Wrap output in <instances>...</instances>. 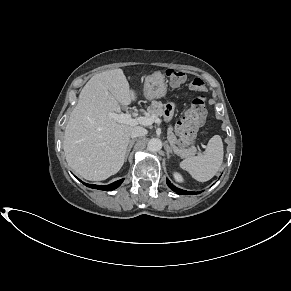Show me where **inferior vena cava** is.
Returning <instances> with one entry per match:
<instances>
[{"label": "inferior vena cava", "instance_id": "602c4592", "mask_svg": "<svg viewBox=\"0 0 291 291\" xmlns=\"http://www.w3.org/2000/svg\"><path fill=\"white\" fill-rule=\"evenodd\" d=\"M146 134H147V130L145 128L136 126L132 129L130 136L131 138H137V137L145 136Z\"/></svg>", "mask_w": 291, "mask_h": 291}]
</instances>
